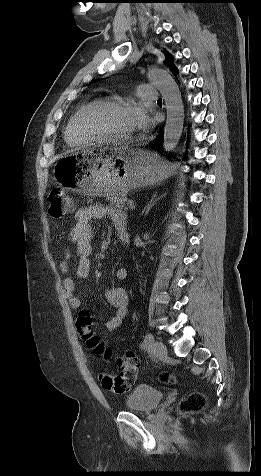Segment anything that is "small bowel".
<instances>
[{"label":"small bowel","instance_id":"small-bowel-1","mask_svg":"<svg viewBox=\"0 0 261 476\" xmlns=\"http://www.w3.org/2000/svg\"><path fill=\"white\" fill-rule=\"evenodd\" d=\"M110 218L115 230L119 235L126 233V216L121 211L102 206L93 205L79 209L75 214L76 223L72 227L69 235L70 243L75 247L78 256V263L73 276H67L63 281V292L69 304L74 309H79L82 300L75 293L76 279L87 278L91 269L90 255L92 252V240L94 237V220ZM71 249L66 247L64 256L60 261L59 267L62 273L68 274L70 271ZM116 278L120 281L127 278V270L119 268L116 270ZM104 297L107 303L115 308V315L105 323L109 331L120 327L128 314L129 298L127 292L117 286H108L104 291Z\"/></svg>","mask_w":261,"mask_h":476}]
</instances>
